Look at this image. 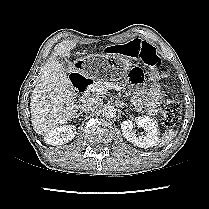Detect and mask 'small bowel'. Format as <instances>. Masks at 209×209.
<instances>
[{
    "label": "small bowel",
    "mask_w": 209,
    "mask_h": 209,
    "mask_svg": "<svg viewBox=\"0 0 209 209\" xmlns=\"http://www.w3.org/2000/svg\"><path fill=\"white\" fill-rule=\"evenodd\" d=\"M126 78L131 86L140 88L133 99L135 108L145 110L149 114H157L163 99L160 85L153 82L148 89L141 88L146 85L148 76L142 68L133 66L128 69Z\"/></svg>",
    "instance_id": "obj_1"
}]
</instances>
